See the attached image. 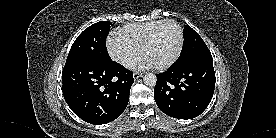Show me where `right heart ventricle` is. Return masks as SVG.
<instances>
[{"label":"right heart ventricle","instance_id":"e07e8e85","mask_svg":"<svg viewBox=\"0 0 276 138\" xmlns=\"http://www.w3.org/2000/svg\"><path fill=\"white\" fill-rule=\"evenodd\" d=\"M161 21L162 20H151L141 23L129 24L118 30L117 34L138 48H141L152 29Z\"/></svg>","mask_w":276,"mask_h":138}]
</instances>
